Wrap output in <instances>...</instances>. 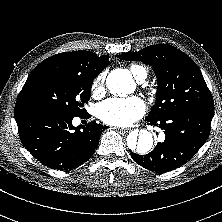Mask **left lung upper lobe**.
<instances>
[{
	"label": "left lung upper lobe",
	"mask_w": 222,
	"mask_h": 222,
	"mask_svg": "<svg viewBox=\"0 0 222 222\" xmlns=\"http://www.w3.org/2000/svg\"><path fill=\"white\" fill-rule=\"evenodd\" d=\"M117 58L149 64L156 74V103L146 119L160 120L189 108L214 111L211 93L199 67L177 48L158 44L117 55Z\"/></svg>",
	"instance_id": "left-lung-upper-lobe-1"
}]
</instances>
